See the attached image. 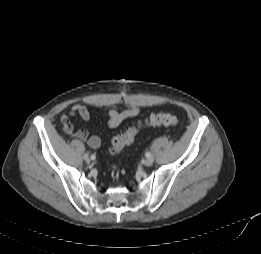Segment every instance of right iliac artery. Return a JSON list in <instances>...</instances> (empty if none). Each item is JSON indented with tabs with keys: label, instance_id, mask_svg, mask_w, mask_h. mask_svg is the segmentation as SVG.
Here are the masks:
<instances>
[{
	"label": "right iliac artery",
	"instance_id": "82829eb1",
	"mask_svg": "<svg viewBox=\"0 0 261 254\" xmlns=\"http://www.w3.org/2000/svg\"><path fill=\"white\" fill-rule=\"evenodd\" d=\"M91 159L94 160V159H95V156H94V155H91Z\"/></svg>",
	"mask_w": 261,
	"mask_h": 254
}]
</instances>
